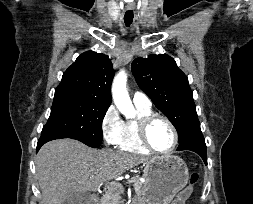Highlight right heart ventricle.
<instances>
[{
  "label": "right heart ventricle",
  "instance_id": "obj_1",
  "mask_svg": "<svg viewBox=\"0 0 253 204\" xmlns=\"http://www.w3.org/2000/svg\"><path fill=\"white\" fill-rule=\"evenodd\" d=\"M138 116L134 120H127L123 124V131L121 138L118 142L120 150L137 154L149 155L150 151L147 150L141 143L139 138L138 122L140 118L152 113L151 108H143L136 106Z\"/></svg>",
  "mask_w": 253,
  "mask_h": 204
}]
</instances>
